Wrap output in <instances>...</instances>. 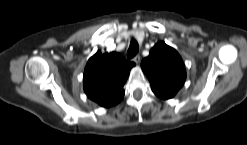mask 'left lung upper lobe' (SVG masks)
Instances as JSON below:
<instances>
[{
	"mask_svg": "<svg viewBox=\"0 0 247 145\" xmlns=\"http://www.w3.org/2000/svg\"><path fill=\"white\" fill-rule=\"evenodd\" d=\"M141 68L151 83L152 91L170 98L178 92L186 79L180 55L162 41L150 50V55L143 59Z\"/></svg>",
	"mask_w": 247,
	"mask_h": 145,
	"instance_id": "left-lung-upper-lobe-1",
	"label": "left lung upper lobe"
}]
</instances>
